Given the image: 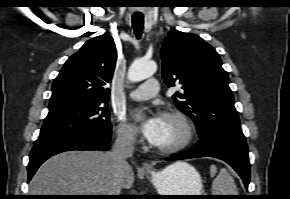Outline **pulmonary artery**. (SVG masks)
<instances>
[{
  "label": "pulmonary artery",
  "instance_id": "obj_1",
  "mask_svg": "<svg viewBox=\"0 0 290 199\" xmlns=\"http://www.w3.org/2000/svg\"><path fill=\"white\" fill-rule=\"evenodd\" d=\"M160 89L159 83L155 79L146 81L144 84L138 86L129 92V97L137 101H145L151 99L158 94Z\"/></svg>",
  "mask_w": 290,
  "mask_h": 199
}]
</instances>
